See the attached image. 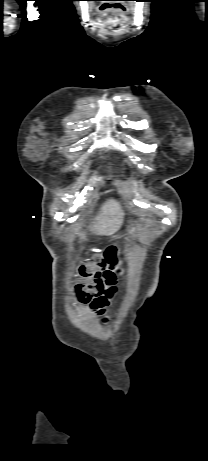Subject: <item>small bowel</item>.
<instances>
[{"label": "small bowel", "instance_id": "c3829d8e", "mask_svg": "<svg viewBox=\"0 0 208 461\" xmlns=\"http://www.w3.org/2000/svg\"><path fill=\"white\" fill-rule=\"evenodd\" d=\"M116 292L115 279L105 281L102 293L91 303L92 312L100 317L104 324H108L110 322V318L106 314V308L115 298Z\"/></svg>", "mask_w": 208, "mask_h": 461}]
</instances>
